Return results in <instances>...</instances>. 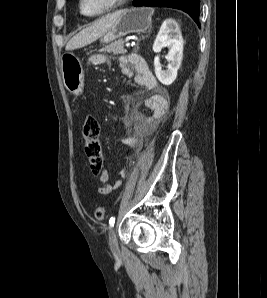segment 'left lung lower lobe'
<instances>
[{"mask_svg":"<svg viewBox=\"0 0 267 298\" xmlns=\"http://www.w3.org/2000/svg\"><path fill=\"white\" fill-rule=\"evenodd\" d=\"M200 0H134L133 5L136 7H169L182 10L200 26L199 19Z\"/></svg>","mask_w":267,"mask_h":298,"instance_id":"1","label":"left lung lower lobe"}]
</instances>
